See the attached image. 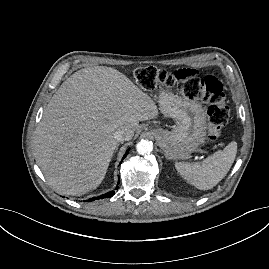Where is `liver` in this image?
<instances>
[{
	"mask_svg": "<svg viewBox=\"0 0 269 269\" xmlns=\"http://www.w3.org/2000/svg\"><path fill=\"white\" fill-rule=\"evenodd\" d=\"M158 116L156 103L118 70L84 68L62 83L46 106L35 136L36 159L48 184L80 196L104 179L125 129L131 140L140 121Z\"/></svg>",
	"mask_w": 269,
	"mask_h": 269,
	"instance_id": "1",
	"label": "liver"
}]
</instances>
